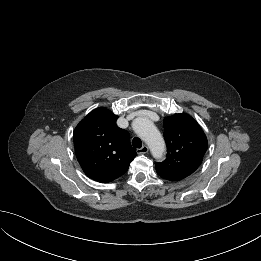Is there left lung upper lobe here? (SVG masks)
Wrapping results in <instances>:
<instances>
[{
	"instance_id": "left-lung-upper-lobe-1",
	"label": "left lung upper lobe",
	"mask_w": 261,
	"mask_h": 261,
	"mask_svg": "<svg viewBox=\"0 0 261 261\" xmlns=\"http://www.w3.org/2000/svg\"><path fill=\"white\" fill-rule=\"evenodd\" d=\"M163 125L167 158L155 163L156 171L163 179L180 181L202 163L207 138L199 124L185 113L165 117Z\"/></svg>"
}]
</instances>
